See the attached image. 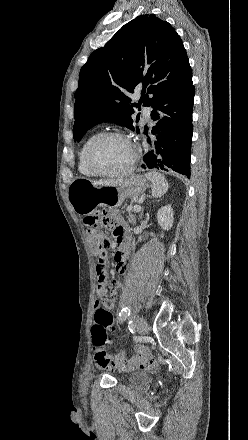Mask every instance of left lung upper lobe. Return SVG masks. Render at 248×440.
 Segmentation results:
<instances>
[{
  "instance_id": "left-lung-upper-lobe-1",
  "label": "left lung upper lobe",
  "mask_w": 248,
  "mask_h": 440,
  "mask_svg": "<svg viewBox=\"0 0 248 440\" xmlns=\"http://www.w3.org/2000/svg\"><path fill=\"white\" fill-rule=\"evenodd\" d=\"M191 80L189 60L175 29L154 14L136 17L95 50L80 70L74 104L75 141L102 122L135 130L134 107L143 104L155 109L169 92ZM136 87L142 88L139 103L130 98Z\"/></svg>"
}]
</instances>
